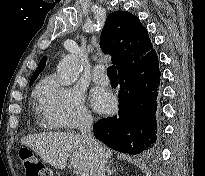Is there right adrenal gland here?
Returning a JSON list of instances; mask_svg holds the SVG:
<instances>
[{
    "instance_id": "2a0ac1e0",
    "label": "right adrenal gland",
    "mask_w": 205,
    "mask_h": 176,
    "mask_svg": "<svg viewBox=\"0 0 205 176\" xmlns=\"http://www.w3.org/2000/svg\"><path fill=\"white\" fill-rule=\"evenodd\" d=\"M111 166H112V162L110 161L107 166V176H111L117 170L116 168H111Z\"/></svg>"
}]
</instances>
